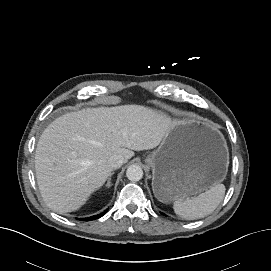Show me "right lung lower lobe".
<instances>
[{
    "mask_svg": "<svg viewBox=\"0 0 271 271\" xmlns=\"http://www.w3.org/2000/svg\"><path fill=\"white\" fill-rule=\"evenodd\" d=\"M108 209H106L103 213L98 214V215H94L88 218H81V220H85V221H90V220H94V219H98L100 217H102L103 215H105L107 213Z\"/></svg>",
    "mask_w": 271,
    "mask_h": 271,
    "instance_id": "right-lung-lower-lobe-1",
    "label": "right lung lower lobe"
}]
</instances>
